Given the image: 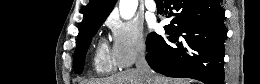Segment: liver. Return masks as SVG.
I'll use <instances>...</instances> for the list:
<instances>
[{"label":"liver","mask_w":260,"mask_h":84,"mask_svg":"<svg viewBox=\"0 0 260 84\" xmlns=\"http://www.w3.org/2000/svg\"><path fill=\"white\" fill-rule=\"evenodd\" d=\"M152 81L150 84H191L190 79H172L150 73ZM83 84H149L143 73L137 69H128L122 73L103 79L85 81Z\"/></svg>","instance_id":"obj_1"}]
</instances>
